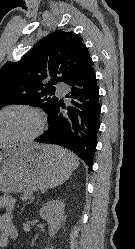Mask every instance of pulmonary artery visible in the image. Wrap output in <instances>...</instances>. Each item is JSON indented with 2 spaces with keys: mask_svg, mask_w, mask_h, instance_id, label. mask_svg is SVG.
Segmentation results:
<instances>
[{
  "mask_svg": "<svg viewBox=\"0 0 135 249\" xmlns=\"http://www.w3.org/2000/svg\"><path fill=\"white\" fill-rule=\"evenodd\" d=\"M56 89L59 93L63 94L64 93V89H65V85L63 84H57Z\"/></svg>",
  "mask_w": 135,
  "mask_h": 249,
  "instance_id": "pulmonary-artery-1",
  "label": "pulmonary artery"
}]
</instances>
